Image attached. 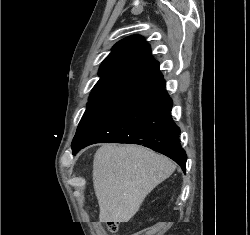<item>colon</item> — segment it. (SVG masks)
I'll list each match as a JSON object with an SVG mask.
<instances>
[{"label":"colon","instance_id":"colon-1","mask_svg":"<svg viewBox=\"0 0 250 235\" xmlns=\"http://www.w3.org/2000/svg\"><path fill=\"white\" fill-rule=\"evenodd\" d=\"M105 225L112 234L117 232V224L115 222H106Z\"/></svg>","mask_w":250,"mask_h":235}]
</instances>
